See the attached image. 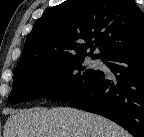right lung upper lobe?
Instances as JSON below:
<instances>
[{
  "label": "right lung upper lobe",
  "mask_w": 144,
  "mask_h": 137,
  "mask_svg": "<svg viewBox=\"0 0 144 137\" xmlns=\"http://www.w3.org/2000/svg\"><path fill=\"white\" fill-rule=\"evenodd\" d=\"M142 44L144 14L134 0H67L36 21L17 66L87 55L105 60ZM90 47L99 53L87 54Z\"/></svg>",
  "instance_id": "obj_1"
}]
</instances>
